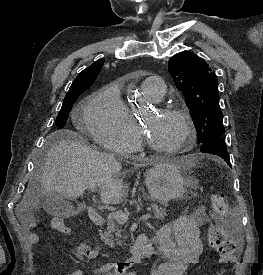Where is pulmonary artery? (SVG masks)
<instances>
[{"instance_id": "obj_1", "label": "pulmonary artery", "mask_w": 263, "mask_h": 275, "mask_svg": "<svg viewBox=\"0 0 263 275\" xmlns=\"http://www.w3.org/2000/svg\"><path fill=\"white\" fill-rule=\"evenodd\" d=\"M143 89L150 99L158 101L165 94V83L159 76H150L143 82Z\"/></svg>"}]
</instances>
